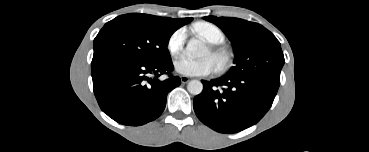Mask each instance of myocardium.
Listing matches in <instances>:
<instances>
[{"label": "myocardium", "mask_w": 369, "mask_h": 152, "mask_svg": "<svg viewBox=\"0 0 369 152\" xmlns=\"http://www.w3.org/2000/svg\"><path fill=\"white\" fill-rule=\"evenodd\" d=\"M212 55L217 61V68L219 71H223L228 67L230 63V54L226 49L216 48L213 50Z\"/></svg>", "instance_id": "myocardium-1"}]
</instances>
